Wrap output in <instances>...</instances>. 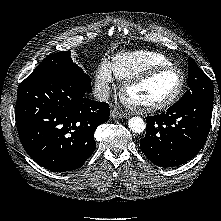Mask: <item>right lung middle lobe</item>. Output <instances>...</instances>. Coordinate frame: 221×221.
<instances>
[{"label":"right lung middle lobe","instance_id":"right-lung-middle-lobe-1","mask_svg":"<svg viewBox=\"0 0 221 221\" xmlns=\"http://www.w3.org/2000/svg\"><path fill=\"white\" fill-rule=\"evenodd\" d=\"M53 76L72 78L91 87L90 77L72 60L70 51L47 56L24 81Z\"/></svg>","mask_w":221,"mask_h":221}]
</instances>
